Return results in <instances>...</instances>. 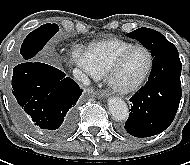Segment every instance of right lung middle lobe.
I'll list each match as a JSON object with an SVG mask.
<instances>
[{
  "label": "right lung middle lobe",
  "mask_w": 190,
  "mask_h": 165,
  "mask_svg": "<svg viewBox=\"0 0 190 165\" xmlns=\"http://www.w3.org/2000/svg\"><path fill=\"white\" fill-rule=\"evenodd\" d=\"M59 30L57 24H44L31 32L21 45L20 54L25 61L34 57Z\"/></svg>",
  "instance_id": "dd1d6c3e"
}]
</instances>
